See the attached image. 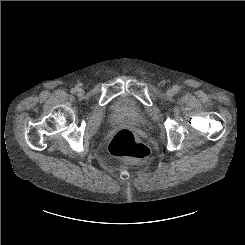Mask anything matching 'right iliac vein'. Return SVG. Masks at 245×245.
<instances>
[{
  "label": "right iliac vein",
  "instance_id": "1",
  "mask_svg": "<svg viewBox=\"0 0 245 245\" xmlns=\"http://www.w3.org/2000/svg\"><path fill=\"white\" fill-rule=\"evenodd\" d=\"M83 93H84V91H83L82 89H79V90H78V95L81 96V95H83Z\"/></svg>",
  "mask_w": 245,
  "mask_h": 245
}]
</instances>
